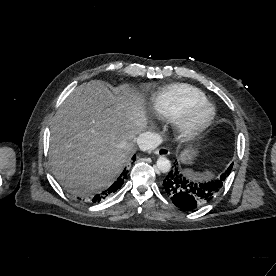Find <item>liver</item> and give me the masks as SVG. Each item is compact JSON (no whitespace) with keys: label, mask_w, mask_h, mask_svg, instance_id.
Here are the masks:
<instances>
[{"label":"liver","mask_w":276,"mask_h":276,"mask_svg":"<svg viewBox=\"0 0 276 276\" xmlns=\"http://www.w3.org/2000/svg\"><path fill=\"white\" fill-rule=\"evenodd\" d=\"M147 127L144 98L122 85L114 95L104 82L76 87L51 127L53 175L71 194L90 196L116 179Z\"/></svg>","instance_id":"obj_1"}]
</instances>
